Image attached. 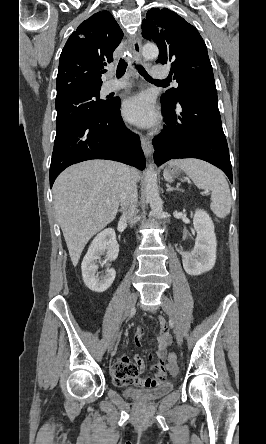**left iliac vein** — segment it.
<instances>
[{
	"label": "left iliac vein",
	"instance_id": "1",
	"mask_svg": "<svg viewBox=\"0 0 266 444\" xmlns=\"http://www.w3.org/2000/svg\"><path fill=\"white\" fill-rule=\"evenodd\" d=\"M161 306H162L163 310L166 312V314L173 321L174 333L176 336L177 344L179 346H181L183 343V334H182V331H181L179 324L177 322L174 305H173L172 301L166 295H162V297H161Z\"/></svg>",
	"mask_w": 266,
	"mask_h": 444
}]
</instances>
